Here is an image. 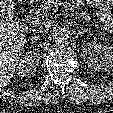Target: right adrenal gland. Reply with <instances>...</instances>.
Returning a JSON list of instances; mask_svg holds the SVG:
<instances>
[{
    "mask_svg": "<svg viewBox=\"0 0 113 113\" xmlns=\"http://www.w3.org/2000/svg\"><path fill=\"white\" fill-rule=\"evenodd\" d=\"M38 39H40V36H33V37L31 38V40H38Z\"/></svg>",
    "mask_w": 113,
    "mask_h": 113,
    "instance_id": "1",
    "label": "right adrenal gland"
}]
</instances>
